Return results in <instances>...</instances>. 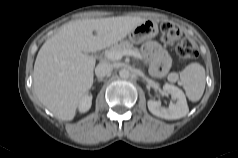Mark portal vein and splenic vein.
<instances>
[{
    "mask_svg": "<svg viewBox=\"0 0 238 158\" xmlns=\"http://www.w3.org/2000/svg\"><path fill=\"white\" fill-rule=\"evenodd\" d=\"M123 56H134L136 58H141L140 53L134 50L111 51L106 53V57L113 61L120 60Z\"/></svg>",
    "mask_w": 238,
    "mask_h": 158,
    "instance_id": "obj_1",
    "label": "portal vein and splenic vein"
}]
</instances>
